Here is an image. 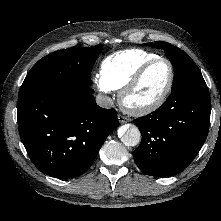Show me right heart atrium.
I'll return each instance as SVG.
<instances>
[{"mask_svg":"<svg viewBox=\"0 0 221 221\" xmlns=\"http://www.w3.org/2000/svg\"><path fill=\"white\" fill-rule=\"evenodd\" d=\"M93 83L98 88L99 91L108 93L111 91V89L108 87V85L104 82L102 77L100 75H95L93 77Z\"/></svg>","mask_w":221,"mask_h":221,"instance_id":"1","label":"right heart atrium"}]
</instances>
